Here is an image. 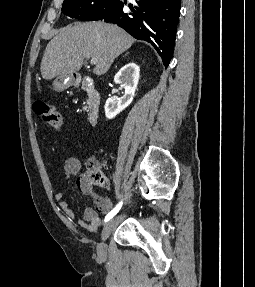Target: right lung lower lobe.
<instances>
[{
    "label": "right lung lower lobe",
    "mask_w": 255,
    "mask_h": 287,
    "mask_svg": "<svg viewBox=\"0 0 255 287\" xmlns=\"http://www.w3.org/2000/svg\"><path fill=\"white\" fill-rule=\"evenodd\" d=\"M180 4L181 0H135L129 4L124 0L101 20L151 43L167 67L173 56Z\"/></svg>",
    "instance_id": "98d812e1"
}]
</instances>
